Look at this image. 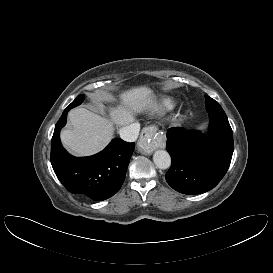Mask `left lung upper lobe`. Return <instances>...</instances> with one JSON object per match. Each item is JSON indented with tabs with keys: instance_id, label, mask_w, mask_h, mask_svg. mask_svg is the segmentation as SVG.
Segmentation results:
<instances>
[{
	"instance_id": "1",
	"label": "left lung upper lobe",
	"mask_w": 273,
	"mask_h": 273,
	"mask_svg": "<svg viewBox=\"0 0 273 273\" xmlns=\"http://www.w3.org/2000/svg\"><path fill=\"white\" fill-rule=\"evenodd\" d=\"M205 106L206 110L209 113V116L211 115H226L222 107L219 105L217 101L210 98L209 96L205 99Z\"/></svg>"
}]
</instances>
